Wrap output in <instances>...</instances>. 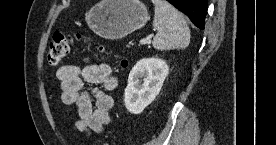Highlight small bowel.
I'll list each match as a JSON object with an SVG mask.
<instances>
[{"mask_svg": "<svg viewBox=\"0 0 276 145\" xmlns=\"http://www.w3.org/2000/svg\"><path fill=\"white\" fill-rule=\"evenodd\" d=\"M60 81L61 100L65 105H74L78 112L76 129L87 133H100L111 120L113 99L108 92L117 88L118 80L106 63L78 66L67 64L56 71ZM102 85L90 91L84 84Z\"/></svg>", "mask_w": 276, "mask_h": 145, "instance_id": "small-bowel-1", "label": "small bowel"}]
</instances>
